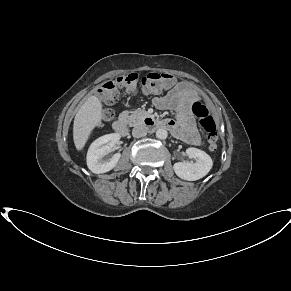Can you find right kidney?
<instances>
[{"mask_svg":"<svg viewBox=\"0 0 291 291\" xmlns=\"http://www.w3.org/2000/svg\"><path fill=\"white\" fill-rule=\"evenodd\" d=\"M120 135L116 133L104 135L95 140L87 153V166L95 174L106 173L118 163L121 154L115 153L111 158L103 159L118 143Z\"/></svg>","mask_w":291,"mask_h":291,"instance_id":"right-kidney-1","label":"right kidney"}]
</instances>
